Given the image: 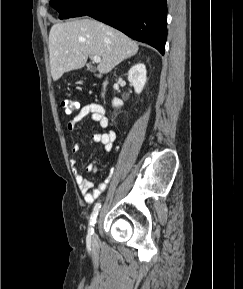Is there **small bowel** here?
I'll return each mask as SVG.
<instances>
[{
  "label": "small bowel",
  "instance_id": "1",
  "mask_svg": "<svg viewBox=\"0 0 243 289\" xmlns=\"http://www.w3.org/2000/svg\"><path fill=\"white\" fill-rule=\"evenodd\" d=\"M87 117H91V119L96 121L102 129H106L109 126V120L106 116L105 109L100 104L89 103L81 107L78 113L68 122V129L70 131H77L80 123ZM92 138L94 142L101 144L106 152H110L113 149V144L116 140V132L109 130L102 133H95ZM79 150L80 146L78 144L73 145V153H77ZM70 164L75 181L85 203L92 204L106 190L108 183L111 181L112 172L103 182L94 186L92 181L81 174L77 167L76 160L72 159ZM85 170L90 173H95L97 171L96 162L94 161L86 165Z\"/></svg>",
  "mask_w": 243,
  "mask_h": 289
}]
</instances>
